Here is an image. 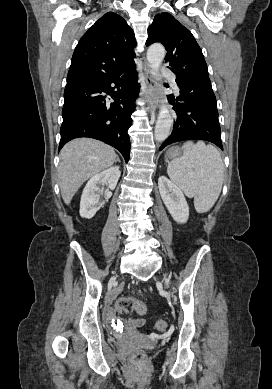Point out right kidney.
<instances>
[{
	"label": "right kidney",
	"mask_w": 272,
	"mask_h": 389,
	"mask_svg": "<svg viewBox=\"0 0 272 389\" xmlns=\"http://www.w3.org/2000/svg\"><path fill=\"white\" fill-rule=\"evenodd\" d=\"M121 171L119 166L110 167L94 175L86 184L80 201V216L85 219H91L101 208L99 204L100 185L108 184L109 189H115L120 178Z\"/></svg>",
	"instance_id": "ca27d5eb"
}]
</instances>
